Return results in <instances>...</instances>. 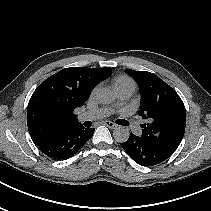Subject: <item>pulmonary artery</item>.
I'll list each match as a JSON object with an SVG mask.
<instances>
[{"instance_id": "1", "label": "pulmonary artery", "mask_w": 211, "mask_h": 211, "mask_svg": "<svg viewBox=\"0 0 211 211\" xmlns=\"http://www.w3.org/2000/svg\"><path fill=\"white\" fill-rule=\"evenodd\" d=\"M134 90L131 88H124L117 91L118 97L121 101H126L131 97ZM112 113V109L108 107H103L91 111L84 112L78 116L79 121L87 120H96L106 116H109Z\"/></svg>"}]
</instances>
